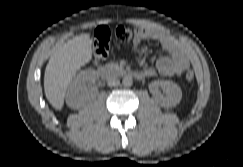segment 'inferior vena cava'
Returning <instances> with one entry per match:
<instances>
[{"instance_id":"602c4592","label":"inferior vena cava","mask_w":243,"mask_h":167,"mask_svg":"<svg viewBox=\"0 0 243 167\" xmlns=\"http://www.w3.org/2000/svg\"><path fill=\"white\" fill-rule=\"evenodd\" d=\"M107 84L109 87L118 86L120 81L117 77H109L107 80Z\"/></svg>"}]
</instances>
